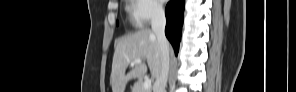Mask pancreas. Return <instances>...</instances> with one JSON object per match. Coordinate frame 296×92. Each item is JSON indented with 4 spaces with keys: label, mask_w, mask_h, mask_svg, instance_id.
I'll return each mask as SVG.
<instances>
[{
    "label": "pancreas",
    "mask_w": 296,
    "mask_h": 92,
    "mask_svg": "<svg viewBox=\"0 0 296 92\" xmlns=\"http://www.w3.org/2000/svg\"><path fill=\"white\" fill-rule=\"evenodd\" d=\"M132 92H151V89H144L143 88V81H137L134 84V87L132 89Z\"/></svg>",
    "instance_id": "pancreas-1"
}]
</instances>
